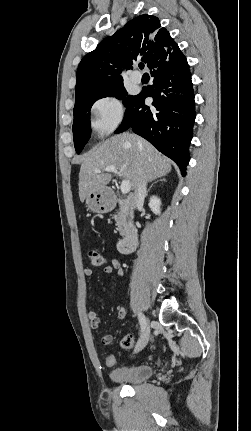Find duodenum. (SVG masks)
Segmentation results:
<instances>
[{"label":"duodenum","mask_w":251,"mask_h":431,"mask_svg":"<svg viewBox=\"0 0 251 431\" xmlns=\"http://www.w3.org/2000/svg\"><path fill=\"white\" fill-rule=\"evenodd\" d=\"M120 203L127 207L132 208L133 202L131 199L121 200ZM138 243V230L133 222H129L124 231V235L117 242V249L122 254H129L133 252Z\"/></svg>","instance_id":"obj_1"}]
</instances>
